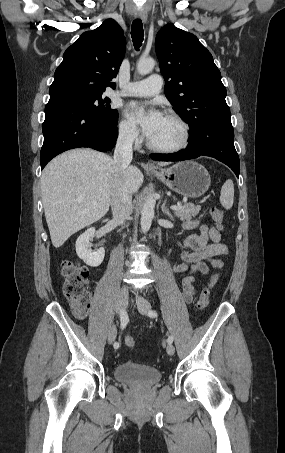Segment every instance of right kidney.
I'll return each mask as SVG.
<instances>
[{
	"label": "right kidney",
	"instance_id": "obj_1",
	"mask_svg": "<svg viewBox=\"0 0 285 453\" xmlns=\"http://www.w3.org/2000/svg\"><path fill=\"white\" fill-rule=\"evenodd\" d=\"M95 236V228L91 227L81 234L76 241V253L90 267H98L104 260L105 250L99 248L97 251L91 250L90 241Z\"/></svg>",
	"mask_w": 285,
	"mask_h": 453
}]
</instances>
